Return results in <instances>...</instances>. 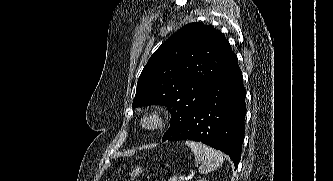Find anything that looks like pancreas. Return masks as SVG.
<instances>
[{"label":"pancreas","mask_w":333,"mask_h":181,"mask_svg":"<svg viewBox=\"0 0 333 181\" xmlns=\"http://www.w3.org/2000/svg\"><path fill=\"white\" fill-rule=\"evenodd\" d=\"M168 181H179V179L177 177H172Z\"/></svg>","instance_id":"obj_1"}]
</instances>
